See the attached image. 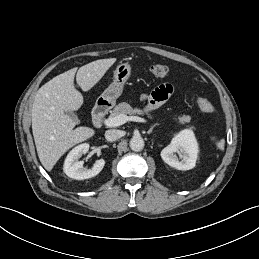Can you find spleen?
<instances>
[{"instance_id":"spleen-1","label":"spleen","mask_w":259,"mask_h":259,"mask_svg":"<svg viewBox=\"0 0 259 259\" xmlns=\"http://www.w3.org/2000/svg\"><path fill=\"white\" fill-rule=\"evenodd\" d=\"M224 144H225V141L224 139L220 140L219 142H217V147L220 149V150H224Z\"/></svg>"}]
</instances>
